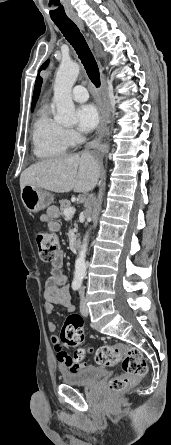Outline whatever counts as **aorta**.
<instances>
[{"mask_svg": "<svg viewBox=\"0 0 171 445\" xmlns=\"http://www.w3.org/2000/svg\"><path fill=\"white\" fill-rule=\"evenodd\" d=\"M80 67L73 61L62 62L58 68L54 83L53 101L57 114L55 120L62 124L76 123L75 106L72 100V87L79 75ZM88 247V234L84 237L79 255L75 261L73 282L80 284L86 275V252Z\"/></svg>", "mask_w": 171, "mask_h": 445, "instance_id": "obj_1", "label": "aorta"}]
</instances>
